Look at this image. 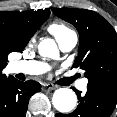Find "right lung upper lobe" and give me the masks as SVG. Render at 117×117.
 Masks as SVG:
<instances>
[{"instance_id":"1","label":"right lung upper lobe","mask_w":117,"mask_h":117,"mask_svg":"<svg viewBox=\"0 0 117 117\" xmlns=\"http://www.w3.org/2000/svg\"><path fill=\"white\" fill-rule=\"evenodd\" d=\"M50 15V10L0 11V81L7 77L2 73L8 62V54L20 52Z\"/></svg>"}]
</instances>
